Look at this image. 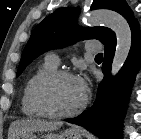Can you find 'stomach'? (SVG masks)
<instances>
[{
	"label": "stomach",
	"instance_id": "stomach-1",
	"mask_svg": "<svg viewBox=\"0 0 141 139\" xmlns=\"http://www.w3.org/2000/svg\"><path fill=\"white\" fill-rule=\"evenodd\" d=\"M20 139H83L82 134L75 129H68L61 134L48 132L47 134L39 136L29 133Z\"/></svg>",
	"mask_w": 141,
	"mask_h": 139
}]
</instances>
